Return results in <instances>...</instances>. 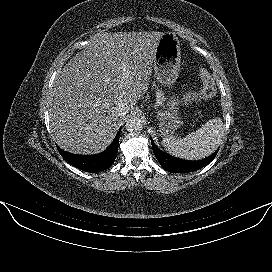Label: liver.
<instances>
[{"label":"liver","mask_w":272,"mask_h":272,"mask_svg":"<svg viewBox=\"0 0 272 272\" xmlns=\"http://www.w3.org/2000/svg\"><path fill=\"white\" fill-rule=\"evenodd\" d=\"M162 35L100 32L70 59L49 102L50 127L60 148L95 154L108 147L119 126L114 107L121 102L131 108L147 92Z\"/></svg>","instance_id":"liver-1"}]
</instances>
